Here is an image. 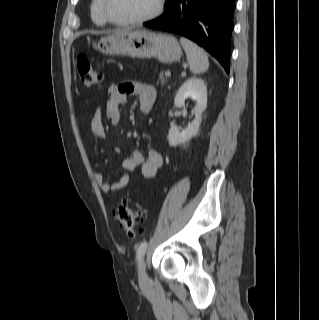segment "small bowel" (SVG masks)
<instances>
[{"label":"small bowel","instance_id":"obj_1","mask_svg":"<svg viewBox=\"0 0 319 320\" xmlns=\"http://www.w3.org/2000/svg\"><path fill=\"white\" fill-rule=\"evenodd\" d=\"M132 94L138 95L142 113L147 114L151 111L157 97V91L154 86L137 82L112 84L108 88V101L105 107L96 108L91 118V131L94 137L103 138L106 135L103 123L104 115L111 124L118 125L120 123V105ZM162 163V154L156 148H149L145 155L136 150L124 159L123 169L126 173L117 182L110 183L106 181L101 173L95 175V181L105 193L125 189L130 185L131 173L139 170L144 178L150 179L156 175Z\"/></svg>","mask_w":319,"mask_h":320}]
</instances>
